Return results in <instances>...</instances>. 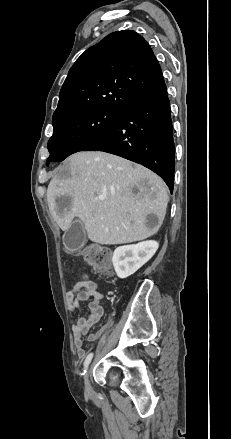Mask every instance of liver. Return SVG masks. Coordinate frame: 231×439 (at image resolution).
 <instances>
[{
	"mask_svg": "<svg viewBox=\"0 0 231 439\" xmlns=\"http://www.w3.org/2000/svg\"><path fill=\"white\" fill-rule=\"evenodd\" d=\"M50 214L63 231L75 217L88 238L112 245L144 240L163 222L167 187L149 169L105 152H78L59 167L47 189ZM157 217L156 226L147 216Z\"/></svg>",
	"mask_w": 231,
	"mask_h": 439,
	"instance_id": "6515ba94",
	"label": "liver"
}]
</instances>
